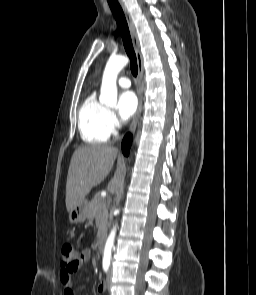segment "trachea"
<instances>
[{
	"instance_id": "trachea-1",
	"label": "trachea",
	"mask_w": 256,
	"mask_h": 295,
	"mask_svg": "<svg viewBox=\"0 0 256 295\" xmlns=\"http://www.w3.org/2000/svg\"><path fill=\"white\" fill-rule=\"evenodd\" d=\"M107 1L116 19V22L123 40L125 51L130 59L131 72L133 76H137L138 66H137L136 55L133 49L132 40L130 37V32H129V28H128V24H127L124 12L117 0H107Z\"/></svg>"
}]
</instances>
